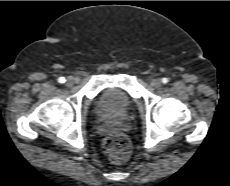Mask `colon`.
Masks as SVG:
<instances>
[{"label": "colon", "instance_id": "obj_1", "mask_svg": "<svg viewBox=\"0 0 230 186\" xmlns=\"http://www.w3.org/2000/svg\"><path fill=\"white\" fill-rule=\"evenodd\" d=\"M103 145L109 159L114 163H123L130 157V141L124 134L118 133L107 136Z\"/></svg>", "mask_w": 230, "mask_h": 186}]
</instances>
